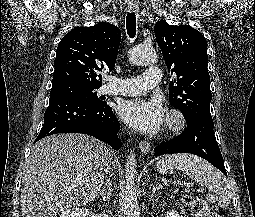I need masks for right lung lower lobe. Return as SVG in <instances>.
Listing matches in <instances>:
<instances>
[{
  "label": "right lung lower lobe",
  "instance_id": "98d812e1",
  "mask_svg": "<svg viewBox=\"0 0 255 217\" xmlns=\"http://www.w3.org/2000/svg\"><path fill=\"white\" fill-rule=\"evenodd\" d=\"M119 130L120 125L107 103L100 106L74 96L56 95L50 97L44 125L35 142L57 133H83L119 150L122 145L117 136Z\"/></svg>",
  "mask_w": 255,
  "mask_h": 217
}]
</instances>
